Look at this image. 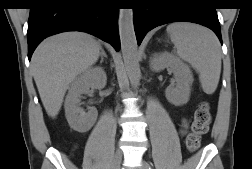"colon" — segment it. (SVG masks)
Segmentation results:
<instances>
[{
	"label": "colon",
	"mask_w": 252,
	"mask_h": 169,
	"mask_svg": "<svg viewBox=\"0 0 252 169\" xmlns=\"http://www.w3.org/2000/svg\"><path fill=\"white\" fill-rule=\"evenodd\" d=\"M210 123V114L208 111V106L202 104L196 113L194 124L192 127V135L188 140V148L191 151H195L199 147V136L207 130Z\"/></svg>",
	"instance_id": "5ec220e1"
}]
</instances>
